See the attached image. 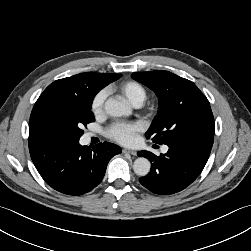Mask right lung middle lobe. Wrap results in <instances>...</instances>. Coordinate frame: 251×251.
Instances as JSON below:
<instances>
[{"mask_svg": "<svg viewBox=\"0 0 251 251\" xmlns=\"http://www.w3.org/2000/svg\"><path fill=\"white\" fill-rule=\"evenodd\" d=\"M113 81L90 74L78 95L40 103L34 110L40 135L55 140H79L84 133L82 126L95 121L91 111L94 96Z\"/></svg>", "mask_w": 251, "mask_h": 251, "instance_id": "dd1d6c3e", "label": "right lung middle lobe"}]
</instances>
